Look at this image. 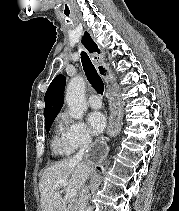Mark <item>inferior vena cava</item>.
Here are the masks:
<instances>
[{
	"label": "inferior vena cava",
	"mask_w": 179,
	"mask_h": 211,
	"mask_svg": "<svg viewBox=\"0 0 179 211\" xmlns=\"http://www.w3.org/2000/svg\"><path fill=\"white\" fill-rule=\"evenodd\" d=\"M90 143H91V137L88 136L85 139V141H84L82 147L80 148V150L78 151V153L75 155V157H74L75 160L81 161L83 159L84 152L88 148ZM87 194H88V188H87V186H83V188L81 190L79 203H78V206H79L78 211H87Z\"/></svg>",
	"instance_id": "inferior-vena-cava-1"
}]
</instances>
